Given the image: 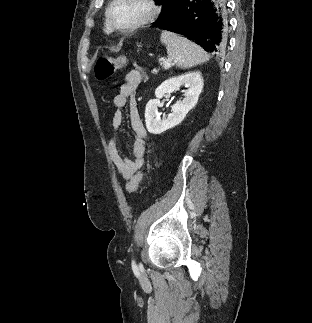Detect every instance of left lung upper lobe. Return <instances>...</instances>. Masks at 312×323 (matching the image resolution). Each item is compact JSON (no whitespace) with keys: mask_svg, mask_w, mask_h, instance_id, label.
Wrapping results in <instances>:
<instances>
[{"mask_svg":"<svg viewBox=\"0 0 312 323\" xmlns=\"http://www.w3.org/2000/svg\"><path fill=\"white\" fill-rule=\"evenodd\" d=\"M156 4L162 5V11L159 18L155 21V26L162 25L166 20L169 19L173 13L174 5L178 0H155Z\"/></svg>","mask_w":312,"mask_h":323,"instance_id":"left-lung-upper-lobe-1","label":"left lung upper lobe"}]
</instances>
